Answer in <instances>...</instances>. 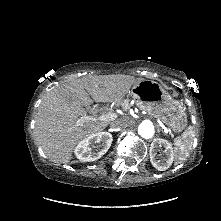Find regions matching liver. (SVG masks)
Segmentation results:
<instances>
[{
    "mask_svg": "<svg viewBox=\"0 0 221 221\" xmlns=\"http://www.w3.org/2000/svg\"><path fill=\"white\" fill-rule=\"evenodd\" d=\"M141 80L124 74L86 76L47 92L38 108L34 134L48 158L55 163H68L81 140L99 133L109 124L103 120L79 123L86 115L85 107L92 104L89 95L96 102L119 106L131 86Z\"/></svg>",
    "mask_w": 221,
    "mask_h": 221,
    "instance_id": "6515ba94",
    "label": "liver"
}]
</instances>
